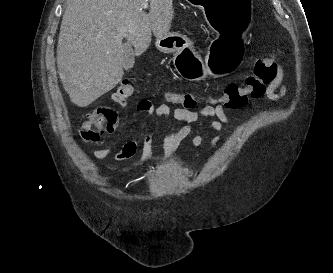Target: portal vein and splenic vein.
<instances>
[{
  "instance_id": "obj_1",
  "label": "portal vein and splenic vein",
  "mask_w": 333,
  "mask_h": 273,
  "mask_svg": "<svg viewBox=\"0 0 333 273\" xmlns=\"http://www.w3.org/2000/svg\"><path fill=\"white\" fill-rule=\"evenodd\" d=\"M143 9H147L148 8V0H145V2L142 3L141 6Z\"/></svg>"
}]
</instances>
